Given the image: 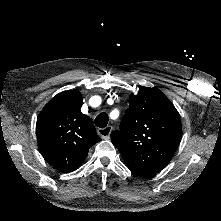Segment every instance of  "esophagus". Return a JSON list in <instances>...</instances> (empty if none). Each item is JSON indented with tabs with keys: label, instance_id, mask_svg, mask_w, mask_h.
<instances>
[{
	"label": "esophagus",
	"instance_id": "obj_1",
	"mask_svg": "<svg viewBox=\"0 0 221 221\" xmlns=\"http://www.w3.org/2000/svg\"><path fill=\"white\" fill-rule=\"evenodd\" d=\"M113 130L112 126H106L105 128H99L97 133L101 136L102 139H110L111 132Z\"/></svg>",
	"mask_w": 221,
	"mask_h": 221
}]
</instances>
